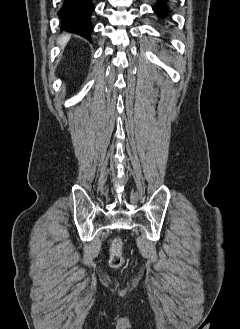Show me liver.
I'll return each mask as SVG.
<instances>
[{"instance_id":"1","label":"liver","mask_w":240,"mask_h":329,"mask_svg":"<svg viewBox=\"0 0 240 329\" xmlns=\"http://www.w3.org/2000/svg\"><path fill=\"white\" fill-rule=\"evenodd\" d=\"M69 39L70 34H63L57 39V43L63 48L68 43Z\"/></svg>"}]
</instances>
